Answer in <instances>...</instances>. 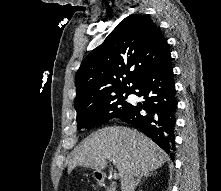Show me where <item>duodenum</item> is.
<instances>
[{
	"label": "duodenum",
	"mask_w": 221,
	"mask_h": 191,
	"mask_svg": "<svg viewBox=\"0 0 221 191\" xmlns=\"http://www.w3.org/2000/svg\"><path fill=\"white\" fill-rule=\"evenodd\" d=\"M97 180L101 185H106L108 183V178L104 174H98Z\"/></svg>",
	"instance_id": "410a0bca"
}]
</instances>
